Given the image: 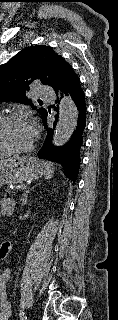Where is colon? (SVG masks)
<instances>
[{
	"instance_id": "colon-1",
	"label": "colon",
	"mask_w": 118,
	"mask_h": 320,
	"mask_svg": "<svg viewBox=\"0 0 118 320\" xmlns=\"http://www.w3.org/2000/svg\"><path fill=\"white\" fill-rule=\"evenodd\" d=\"M3 247H4V252H1L0 251V259H3L6 255V242L3 244Z\"/></svg>"
}]
</instances>
